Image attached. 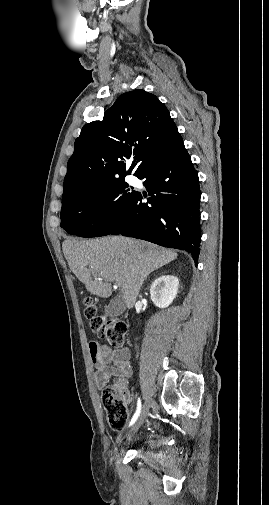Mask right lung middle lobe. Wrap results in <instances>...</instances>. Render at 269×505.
Wrapping results in <instances>:
<instances>
[{
    "instance_id": "right-lung-middle-lobe-1",
    "label": "right lung middle lobe",
    "mask_w": 269,
    "mask_h": 505,
    "mask_svg": "<svg viewBox=\"0 0 269 505\" xmlns=\"http://www.w3.org/2000/svg\"><path fill=\"white\" fill-rule=\"evenodd\" d=\"M136 191L124 179L89 188L62 202L61 227L69 234H110L123 219Z\"/></svg>"
}]
</instances>
